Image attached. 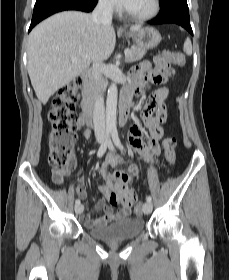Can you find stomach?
<instances>
[{
	"mask_svg": "<svg viewBox=\"0 0 229 280\" xmlns=\"http://www.w3.org/2000/svg\"><path fill=\"white\" fill-rule=\"evenodd\" d=\"M138 47L142 49L155 48L161 42V35L153 27H144L130 34Z\"/></svg>",
	"mask_w": 229,
	"mask_h": 280,
	"instance_id": "0dacf381",
	"label": "stomach"
}]
</instances>
